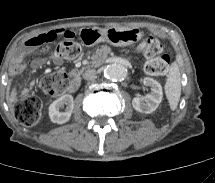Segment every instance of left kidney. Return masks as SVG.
Masks as SVG:
<instances>
[{
  "label": "left kidney",
  "mask_w": 215,
  "mask_h": 183,
  "mask_svg": "<svg viewBox=\"0 0 215 183\" xmlns=\"http://www.w3.org/2000/svg\"><path fill=\"white\" fill-rule=\"evenodd\" d=\"M143 83L151 88V93L147 94L145 97H134L132 106L138 112L152 113L162 101V87L159 82L149 77L144 78Z\"/></svg>",
  "instance_id": "left-kidney-1"
}]
</instances>
